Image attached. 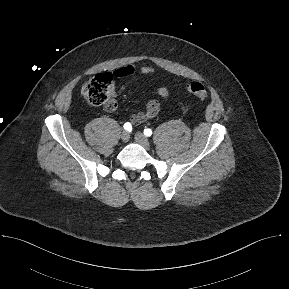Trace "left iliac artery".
I'll list each match as a JSON object with an SVG mask.
<instances>
[{
	"instance_id": "44dca946",
	"label": "left iliac artery",
	"mask_w": 289,
	"mask_h": 289,
	"mask_svg": "<svg viewBox=\"0 0 289 289\" xmlns=\"http://www.w3.org/2000/svg\"><path fill=\"white\" fill-rule=\"evenodd\" d=\"M144 135H146V136H151V135H152V130L149 129V128L145 129V130H144Z\"/></svg>"
}]
</instances>
